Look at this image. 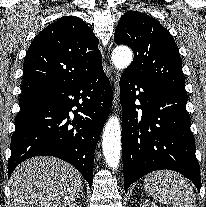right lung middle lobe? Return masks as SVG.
Segmentation results:
<instances>
[{"label": "right lung middle lobe", "mask_w": 206, "mask_h": 207, "mask_svg": "<svg viewBox=\"0 0 206 207\" xmlns=\"http://www.w3.org/2000/svg\"><path fill=\"white\" fill-rule=\"evenodd\" d=\"M35 101V98L32 96H22L20 97V109H23L27 106H29L30 104H32Z\"/></svg>", "instance_id": "1"}]
</instances>
